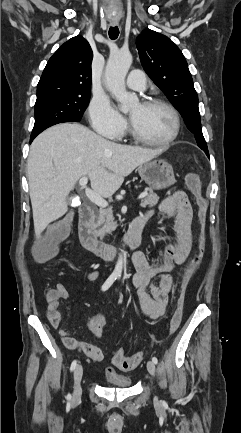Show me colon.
<instances>
[{"mask_svg":"<svg viewBox=\"0 0 241 433\" xmlns=\"http://www.w3.org/2000/svg\"><path fill=\"white\" fill-rule=\"evenodd\" d=\"M187 179H188L189 186L194 193L196 203L198 206V217L201 225V237H200L198 253L187 265L181 278L176 308L170 320L171 333L175 332L181 324L189 284L194 274L200 267L203 253L205 250V245H206L205 237H204V229H205V221H206V215H205L206 202L201 193V184L197 175L194 173H190ZM66 211L68 213H71L73 211V208L71 206H68L66 208ZM65 233H66V221L63 220L59 222L57 225H55L54 227H52L49 230V232L37 242L34 248L35 258L38 261H43L49 258L55 251L56 247L58 246L60 240L62 239ZM143 358L144 355L142 352H137L133 355L128 356L124 353V351L121 348H118L114 353L112 361L113 364L119 369L124 371H129L136 368L142 362ZM114 372L115 371L113 369H110L108 373L112 374Z\"/></svg>","mask_w":241,"mask_h":433,"instance_id":"obj_1","label":"colon"}]
</instances>
